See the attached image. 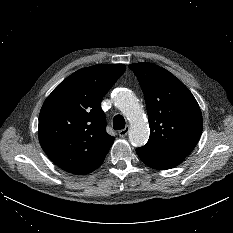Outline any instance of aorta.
<instances>
[{
    "label": "aorta",
    "mask_w": 233,
    "mask_h": 233,
    "mask_svg": "<svg viewBox=\"0 0 233 233\" xmlns=\"http://www.w3.org/2000/svg\"><path fill=\"white\" fill-rule=\"evenodd\" d=\"M114 103L130 122L129 141L135 147L143 146L149 138V126L136 96L129 90L115 92Z\"/></svg>",
    "instance_id": "obj_1"
}]
</instances>
